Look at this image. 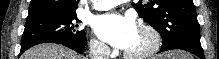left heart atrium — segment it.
<instances>
[{
  "label": "left heart atrium",
  "instance_id": "1",
  "mask_svg": "<svg viewBox=\"0 0 219 59\" xmlns=\"http://www.w3.org/2000/svg\"><path fill=\"white\" fill-rule=\"evenodd\" d=\"M93 29L101 40L120 49H127L139 31L132 17L116 12L95 18Z\"/></svg>",
  "mask_w": 219,
  "mask_h": 59
}]
</instances>
